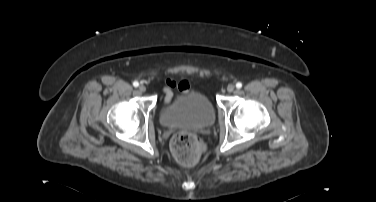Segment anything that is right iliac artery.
Returning <instances> with one entry per match:
<instances>
[{"instance_id":"82829eb1","label":"right iliac artery","mask_w":376,"mask_h":202,"mask_svg":"<svg viewBox=\"0 0 376 202\" xmlns=\"http://www.w3.org/2000/svg\"><path fill=\"white\" fill-rule=\"evenodd\" d=\"M133 86H134V87H138V86H139V83H138L137 81H134V82H133Z\"/></svg>"}]
</instances>
